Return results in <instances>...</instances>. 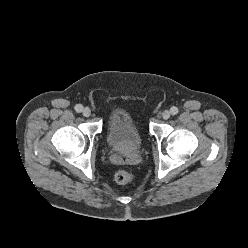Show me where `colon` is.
<instances>
[{"label": "colon", "mask_w": 248, "mask_h": 248, "mask_svg": "<svg viewBox=\"0 0 248 248\" xmlns=\"http://www.w3.org/2000/svg\"><path fill=\"white\" fill-rule=\"evenodd\" d=\"M115 180L119 184H130L135 180L134 174L127 170H120L115 174Z\"/></svg>", "instance_id": "colon-1"}]
</instances>
